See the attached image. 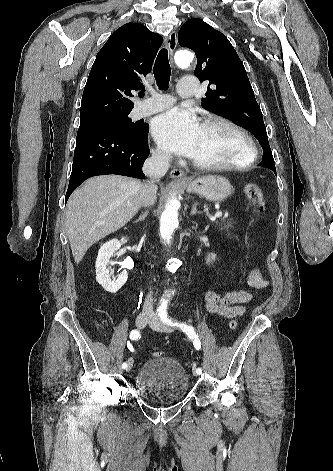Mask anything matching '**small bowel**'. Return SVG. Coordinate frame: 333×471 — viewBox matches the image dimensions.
Returning a JSON list of instances; mask_svg holds the SVG:
<instances>
[{"label":"small bowel","instance_id":"c3829d8e","mask_svg":"<svg viewBox=\"0 0 333 471\" xmlns=\"http://www.w3.org/2000/svg\"><path fill=\"white\" fill-rule=\"evenodd\" d=\"M247 283L253 289H264L269 285L268 280L258 268L250 271ZM252 298V294L246 290H233L224 294L207 291L204 301L208 313L225 319H234L245 314V304L249 303Z\"/></svg>","mask_w":333,"mask_h":471}]
</instances>
